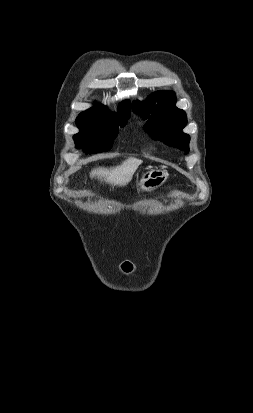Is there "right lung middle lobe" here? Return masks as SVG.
I'll list each match as a JSON object with an SVG mask.
<instances>
[{
	"mask_svg": "<svg viewBox=\"0 0 253 413\" xmlns=\"http://www.w3.org/2000/svg\"><path fill=\"white\" fill-rule=\"evenodd\" d=\"M130 116H121L99 123L77 124L80 132L73 139L77 148H87V153L105 152L112 148L119 126L124 127Z\"/></svg>",
	"mask_w": 253,
	"mask_h": 413,
	"instance_id": "right-lung-middle-lobe-1",
	"label": "right lung middle lobe"
}]
</instances>
